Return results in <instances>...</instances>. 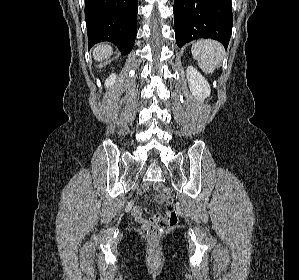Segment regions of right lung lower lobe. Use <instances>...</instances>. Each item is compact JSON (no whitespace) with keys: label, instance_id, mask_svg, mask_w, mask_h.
<instances>
[{"label":"right lung lower lobe","instance_id":"98d812e1","mask_svg":"<svg viewBox=\"0 0 299 280\" xmlns=\"http://www.w3.org/2000/svg\"><path fill=\"white\" fill-rule=\"evenodd\" d=\"M138 0H85L88 47L112 42L128 54L137 34Z\"/></svg>","mask_w":299,"mask_h":280}]
</instances>
